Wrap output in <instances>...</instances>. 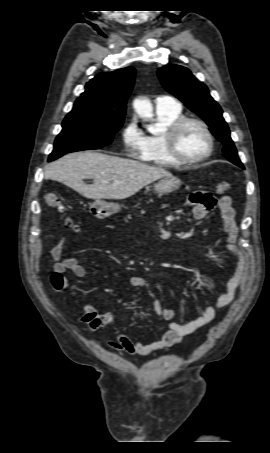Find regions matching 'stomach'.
<instances>
[{"label": "stomach", "instance_id": "1", "mask_svg": "<svg viewBox=\"0 0 270 453\" xmlns=\"http://www.w3.org/2000/svg\"><path fill=\"white\" fill-rule=\"evenodd\" d=\"M181 180L177 177H164L156 185L155 190L158 194H165L178 189L181 185ZM121 210V206L116 203L105 202L103 200H95L90 204L89 212L98 219L107 218Z\"/></svg>", "mask_w": 270, "mask_h": 453}]
</instances>
